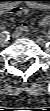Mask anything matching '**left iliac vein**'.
Here are the masks:
<instances>
[{
	"instance_id": "obj_1",
	"label": "left iliac vein",
	"mask_w": 50,
	"mask_h": 111,
	"mask_svg": "<svg viewBox=\"0 0 50 111\" xmlns=\"http://www.w3.org/2000/svg\"><path fill=\"white\" fill-rule=\"evenodd\" d=\"M37 43L38 44H43L44 43V40L40 37L37 38Z\"/></svg>"
}]
</instances>
